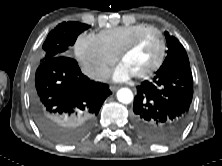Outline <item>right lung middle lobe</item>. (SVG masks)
Segmentation results:
<instances>
[{"instance_id": "obj_1", "label": "right lung middle lobe", "mask_w": 222, "mask_h": 166, "mask_svg": "<svg viewBox=\"0 0 222 166\" xmlns=\"http://www.w3.org/2000/svg\"><path fill=\"white\" fill-rule=\"evenodd\" d=\"M89 27V25L78 22H63L56 26V28L48 34L42 46L44 57L41 62L56 56L67 55V50L75 43L77 36ZM39 128L47 137L56 141L43 127L40 126Z\"/></svg>"}]
</instances>
